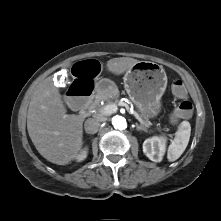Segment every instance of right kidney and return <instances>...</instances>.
<instances>
[{"instance_id":"1","label":"right kidney","mask_w":221,"mask_h":221,"mask_svg":"<svg viewBox=\"0 0 221 221\" xmlns=\"http://www.w3.org/2000/svg\"><path fill=\"white\" fill-rule=\"evenodd\" d=\"M87 148H84L79 154H77L76 159L77 161H82L87 157Z\"/></svg>"}]
</instances>
